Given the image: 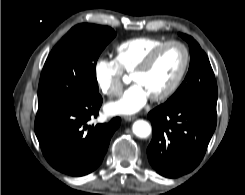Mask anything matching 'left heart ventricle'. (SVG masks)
<instances>
[{"mask_svg":"<svg viewBox=\"0 0 245 195\" xmlns=\"http://www.w3.org/2000/svg\"><path fill=\"white\" fill-rule=\"evenodd\" d=\"M183 60V50L179 46H170L157 56L147 71L132 76V80L134 83L140 84L150 97L157 95L174 81Z\"/></svg>","mask_w":245,"mask_h":195,"instance_id":"1","label":"left heart ventricle"}]
</instances>
